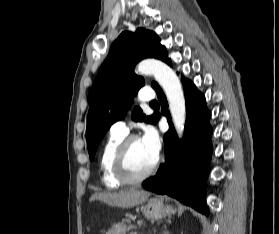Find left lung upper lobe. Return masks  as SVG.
<instances>
[{"instance_id": "left-lung-upper-lobe-1", "label": "left lung upper lobe", "mask_w": 279, "mask_h": 234, "mask_svg": "<svg viewBox=\"0 0 279 234\" xmlns=\"http://www.w3.org/2000/svg\"><path fill=\"white\" fill-rule=\"evenodd\" d=\"M144 58H156L166 63L169 60L166 48L152 31L138 28L135 33L123 32L112 44L90 91L86 138L91 160L106 131L124 118L134 96L144 86V78L134 73L135 65ZM157 86L152 83L153 88ZM132 119L152 124L158 122L157 114L145 117L139 107L134 108Z\"/></svg>"}]
</instances>
